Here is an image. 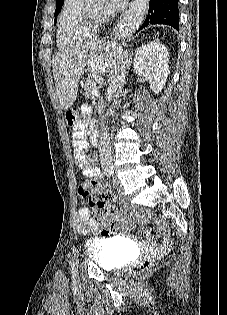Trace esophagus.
<instances>
[{"label":"esophagus","instance_id":"1","mask_svg":"<svg viewBox=\"0 0 227 315\" xmlns=\"http://www.w3.org/2000/svg\"><path fill=\"white\" fill-rule=\"evenodd\" d=\"M116 31H117V27L114 29V32L116 33Z\"/></svg>","mask_w":227,"mask_h":315}]
</instances>
